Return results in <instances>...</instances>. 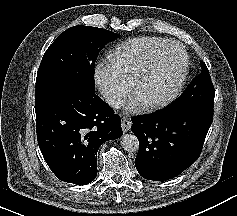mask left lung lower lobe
I'll return each instance as SVG.
<instances>
[{
  "mask_svg": "<svg viewBox=\"0 0 237 216\" xmlns=\"http://www.w3.org/2000/svg\"><path fill=\"white\" fill-rule=\"evenodd\" d=\"M213 115L184 106H169L132 118L140 146L135 159L139 174L164 181L179 175L199 157Z\"/></svg>",
  "mask_w": 237,
  "mask_h": 216,
  "instance_id": "1",
  "label": "left lung lower lobe"
}]
</instances>
